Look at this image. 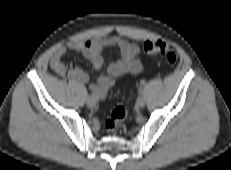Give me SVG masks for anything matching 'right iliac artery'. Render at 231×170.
I'll return each mask as SVG.
<instances>
[{
  "instance_id": "82829eb1",
  "label": "right iliac artery",
  "mask_w": 231,
  "mask_h": 170,
  "mask_svg": "<svg viewBox=\"0 0 231 170\" xmlns=\"http://www.w3.org/2000/svg\"><path fill=\"white\" fill-rule=\"evenodd\" d=\"M92 98H94L95 100H98L94 95H91Z\"/></svg>"
}]
</instances>
